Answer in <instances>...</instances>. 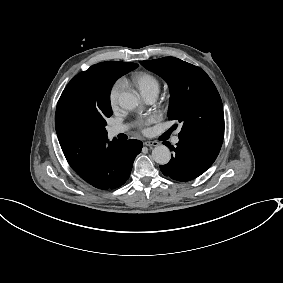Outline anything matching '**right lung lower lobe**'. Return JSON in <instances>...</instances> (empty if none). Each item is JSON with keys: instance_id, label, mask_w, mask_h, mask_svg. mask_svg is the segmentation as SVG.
<instances>
[{"instance_id": "obj_1", "label": "right lung lower lobe", "mask_w": 283, "mask_h": 283, "mask_svg": "<svg viewBox=\"0 0 283 283\" xmlns=\"http://www.w3.org/2000/svg\"><path fill=\"white\" fill-rule=\"evenodd\" d=\"M141 149L142 142L134 139L110 143L75 172L98 189L118 188L129 178L134 159Z\"/></svg>"}]
</instances>
